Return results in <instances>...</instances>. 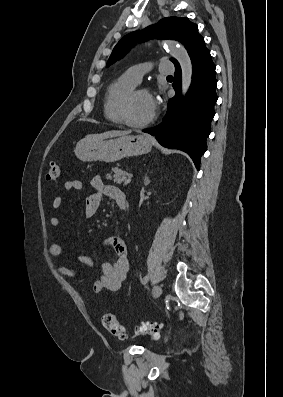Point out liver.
Segmentation results:
<instances>
[{"instance_id":"liver-1","label":"liver","mask_w":283,"mask_h":397,"mask_svg":"<svg viewBox=\"0 0 283 397\" xmlns=\"http://www.w3.org/2000/svg\"><path fill=\"white\" fill-rule=\"evenodd\" d=\"M131 131H119V130H112V131H107L101 134H91L87 135L84 139H98V140H103L107 138H112V137H117V136H125L130 134Z\"/></svg>"}]
</instances>
